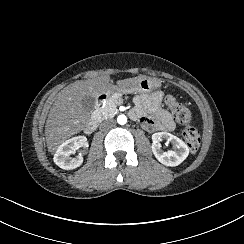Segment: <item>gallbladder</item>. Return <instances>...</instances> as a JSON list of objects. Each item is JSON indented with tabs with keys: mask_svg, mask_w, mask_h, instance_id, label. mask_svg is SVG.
<instances>
[{
	"mask_svg": "<svg viewBox=\"0 0 244 244\" xmlns=\"http://www.w3.org/2000/svg\"><path fill=\"white\" fill-rule=\"evenodd\" d=\"M81 105L84 111L92 112L95 108V97L85 95L82 97Z\"/></svg>",
	"mask_w": 244,
	"mask_h": 244,
	"instance_id": "gallbladder-1",
	"label": "gallbladder"
}]
</instances>
